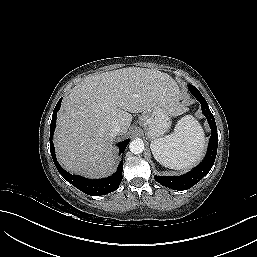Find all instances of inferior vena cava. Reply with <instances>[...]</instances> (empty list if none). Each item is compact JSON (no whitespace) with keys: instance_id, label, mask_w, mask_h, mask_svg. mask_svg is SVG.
I'll return each instance as SVG.
<instances>
[{"instance_id":"inferior-vena-cava-1","label":"inferior vena cava","mask_w":257,"mask_h":257,"mask_svg":"<svg viewBox=\"0 0 257 257\" xmlns=\"http://www.w3.org/2000/svg\"><path fill=\"white\" fill-rule=\"evenodd\" d=\"M121 132V127L119 125H115L111 128V135L116 137Z\"/></svg>"}]
</instances>
